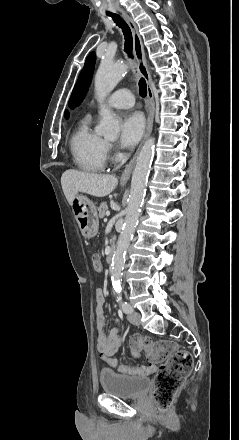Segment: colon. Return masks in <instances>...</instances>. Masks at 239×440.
I'll return each mask as SVG.
<instances>
[{"label": "colon", "instance_id": "obj_1", "mask_svg": "<svg viewBox=\"0 0 239 440\" xmlns=\"http://www.w3.org/2000/svg\"><path fill=\"white\" fill-rule=\"evenodd\" d=\"M92 266L96 273L101 272V263L96 256L92 258ZM129 348L133 355L144 352L151 363L150 366L120 365L116 359L112 360L111 366L122 373H155V401L161 410L167 409L192 370V355L187 351L178 349L176 344L171 341H152L137 334L131 336ZM158 364H160L159 367L156 366Z\"/></svg>", "mask_w": 239, "mask_h": 440}]
</instances>
